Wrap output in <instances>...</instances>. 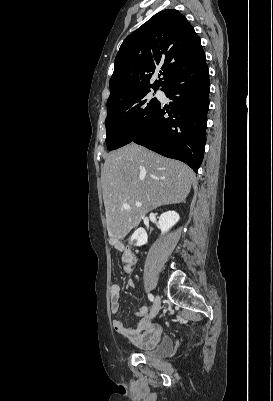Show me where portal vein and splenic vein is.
Masks as SVG:
<instances>
[{"label":"portal vein and splenic vein","instance_id":"18ae733b","mask_svg":"<svg viewBox=\"0 0 273 401\" xmlns=\"http://www.w3.org/2000/svg\"><path fill=\"white\" fill-rule=\"evenodd\" d=\"M135 207H142V203H135ZM124 209H130V205H124Z\"/></svg>","mask_w":273,"mask_h":401}]
</instances>
